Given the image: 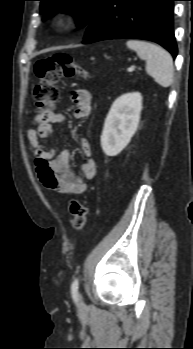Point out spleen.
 <instances>
[{"label": "spleen", "mask_w": 193, "mask_h": 349, "mask_svg": "<svg viewBox=\"0 0 193 349\" xmlns=\"http://www.w3.org/2000/svg\"><path fill=\"white\" fill-rule=\"evenodd\" d=\"M127 47L134 50L137 55L146 61V71L156 83L167 88L173 83V59L165 49L139 40H128Z\"/></svg>", "instance_id": "obj_1"}]
</instances>
